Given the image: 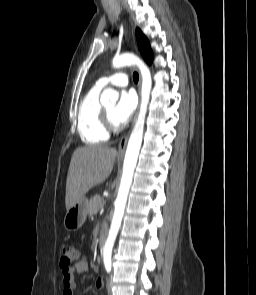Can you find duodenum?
<instances>
[{"mask_svg":"<svg viewBox=\"0 0 256 295\" xmlns=\"http://www.w3.org/2000/svg\"><path fill=\"white\" fill-rule=\"evenodd\" d=\"M106 237H107V229L104 227L101 229L100 233H99V238H98V246L100 248H102L105 244L106 241Z\"/></svg>","mask_w":256,"mask_h":295,"instance_id":"410a0bca","label":"duodenum"}]
</instances>
